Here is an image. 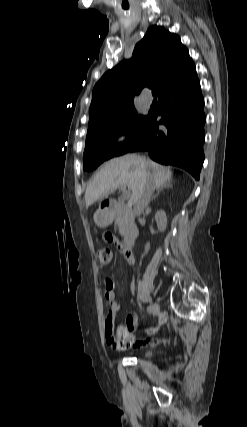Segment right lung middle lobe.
Listing matches in <instances>:
<instances>
[{"label":"right lung middle lobe","instance_id":"right-lung-middle-lobe-1","mask_svg":"<svg viewBox=\"0 0 247 427\" xmlns=\"http://www.w3.org/2000/svg\"><path fill=\"white\" fill-rule=\"evenodd\" d=\"M150 116L137 115L134 106L123 110L115 119L88 129L83 155V169L94 170L105 160L126 153L145 135ZM120 132H128L132 138L116 144ZM131 132V134H130Z\"/></svg>","mask_w":247,"mask_h":427}]
</instances>
